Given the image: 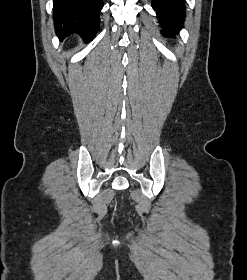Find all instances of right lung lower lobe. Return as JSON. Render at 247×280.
<instances>
[{"instance_id":"98d812e1","label":"right lung lower lobe","mask_w":247,"mask_h":280,"mask_svg":"<svg viewBox=\"0 0 247 280\" xmlns=\"http://www.w3.org/2000/svg\"><path fill=\"white\" fill-rule=\"evenodd\" d=\"M55 32L60 39L76 33L92 40L99 28L103 0H53Z\"/></svg>"}]
</instances>
